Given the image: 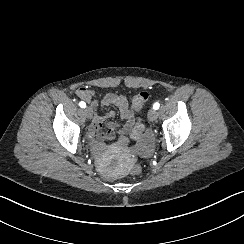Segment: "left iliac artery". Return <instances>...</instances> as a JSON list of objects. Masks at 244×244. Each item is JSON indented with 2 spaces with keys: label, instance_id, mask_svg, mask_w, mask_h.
<instances>
[{
  "label": "left iliac artery",
  "instance_id": "1",
  "mask_svg": "<svg viewBox=\"0 0 244 244\" xmlns=\"http://www.w3.org/2000/svg\"><path fill=\"white\" fill-rule=\"evenodd\" d=\"M159 107H160V104L158 102L154 103L153 109L157 110V109H159Z\"/></svg>",
  "mask_w": 244,
  "mask_h": 244
}]
</instances>
